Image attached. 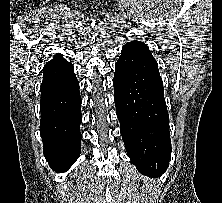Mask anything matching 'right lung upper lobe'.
Segmentation results:
<instances>
[{
  "label": "right lung upper lobe",
  "mask_w": 222,
  "mask_h": 203,
  "mask_svg": "<svg viewBox=\"0 0 222 203\" xmlns=\"http://www.w3.org/2000/svg\"><path fill=\"white\" fill-rule=\"evenodd\" d=\"M62 54H56L53 59H62Z\"/></svg>",
  "instance_id": "cb5924a9"
}]
</instances>
